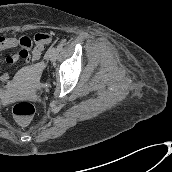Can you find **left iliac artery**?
Wrapping results in <instances>:
<instances>
[{
  "label": "left iliac artery",
  "instance_id": "left-iliac-artery-1",
  "mask_svg": "<svg viewBox=\"0 0 172 172\" xmlns=\"http://www.w3.org/2000/svg\"><path fill=\"white\" fill-rule=\"evenodd\" d=\"M62 48H63V43H60V44L57 46V49L60 51V50H62Z\"/></svg>",
  "mask_w": 172,
  "mask_h": 172
}]
</instances>
